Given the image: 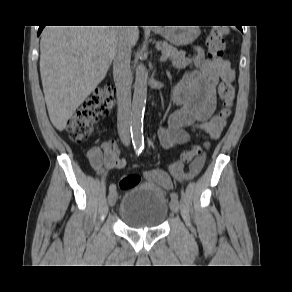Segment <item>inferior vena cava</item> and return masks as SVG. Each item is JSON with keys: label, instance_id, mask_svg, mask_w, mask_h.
I'll return each instance as SVG.
<instances>
[{"label": "inferior vena cava", "instance_id": "1", "mask_svg": "<svg viewBox=\"0 0 292 292\" xmlns=\"http://www.w3.org/2000/svg\"><path fill=\"white\" fill-rule=\"evenodd\" d=\"M121 31H125L127 26H120ZM131 47L122 42L113 60V77L117 90L118 114L117 128L122 142L128 146L130 143L131 126V81L132 73L130 69Z\"/></svg>", "mask_w": 292, "mask_h": 292}]
</instances>
